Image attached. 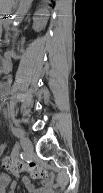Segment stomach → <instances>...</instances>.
Here are the masks:
<instances>
[{"label": "stomach", "instance_id": "obj_1", "mask_svg": "<svg viewBox=\"0 0 103 193\" xmlns=\"http://www.w3.org/2000/svg\"><path fill=\"white\" fill-rule=\"evenodd\" d=\"M15 3H16V0H8L7 4L10 6V10L7 13H9L11 11V9L15 5ZM5 7L7 8L8 6H5Z\"/></svg>", "mask_w": 103, "mask_h": 193}]
</instances>
